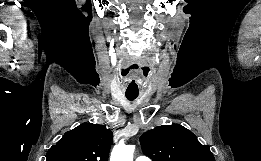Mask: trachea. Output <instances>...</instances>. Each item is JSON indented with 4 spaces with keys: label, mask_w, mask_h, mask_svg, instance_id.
Listing matches in <instances>:
<instances>
[{
    "label": "trachea",
    "mask_w": 261,
    "mask_h": 161,
    "mask_svg": "<svg viewBox=\"0 0 261 161\" xmlns=\"http://www.w3.org/2000/svg\"><path fill=\"white\" fill-rule=\"evenodd\" d=\"M127 99L130 100V101H133L137 98L136 95H126Z\"/></svg>",
    "instance_id": "1"
}]
</instances>
